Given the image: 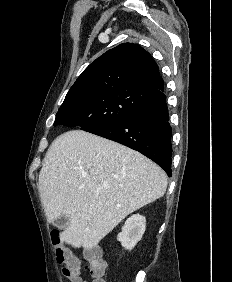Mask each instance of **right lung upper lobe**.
<instances>
[{
    "mask_svg": "<svg viewBox=\"0 0 232 282\" xmlns=\"http://www.w3.org/2000/svg\"><path fill=\"white\" fill-rule=\"evenodd\" d=\"M163 80L151 55L141 46L123 43L92 62L75 81L65 100L110 89L143 92L159 102L165 97Z\"/></svg>",
    "mask_w": 232,
    "mask_h": 282,
    "instance_id": "obj_1",
    "label": "right lung upper lobe"
}]
</instances>
